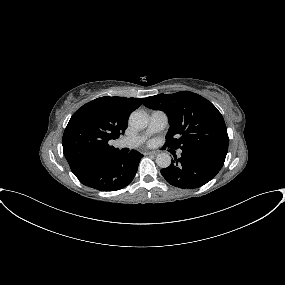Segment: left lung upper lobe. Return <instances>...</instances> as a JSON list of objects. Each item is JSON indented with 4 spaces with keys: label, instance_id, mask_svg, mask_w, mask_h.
I'll list each match as a JSON object with an SVG mask.
<instances>
[{
    "label": "left lung upper lobe",
    "instance_id": "1",
    "mask_svg": "<svg viewBox=\"0 0 285 285\" xmlns=\"http://www.w3.org/2000/svg\"><path fill=\"white\" fill-rule=\"evenodd\" d=\"M144 104L168 116L165 147L227 155L229 138L224 119L204 97L183 91L146 97Z\"/></svg>",
    "mask_w": 285,
    "mask_h": 285
}]
</instances>
